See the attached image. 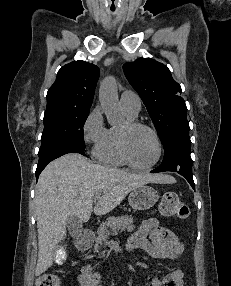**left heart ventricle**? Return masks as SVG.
Segmentation results:
<instances>
[{
  "mask_svg": "<svg viewBox=\"0 0 231 286\" xmlns=\"http://www.w3.org/2000/svg\"><path fill=\"white\" fill-rule=\"evenodd\" d=\"M125 124L121 127L123 128ZM128 151L133 161L145 166L154 161L157 155V145L153 135L145 129H136L129 133Z\"/></svg>",
  "mask_w": 231,
  "mask_h": 286,
  "instance_id": "b2bd125f",
  "label": "left heart ventricle"
}]
</instances>
